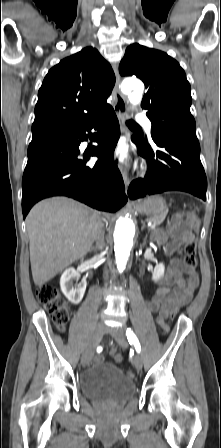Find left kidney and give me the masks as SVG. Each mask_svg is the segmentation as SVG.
I'll return each instance as SVG.
<instances>
[{
  "instance_id": "left-kidney-1",
  "label": "left kidney",
  "mask_w": 221,
  "mask_h": 448,
  "mask_svg": "<svg viewBox=\"0 0 221 448\" xmlns=\"http://www.w3.org/2000/svg\"><path fill=\"white\" fill-rule=\"evenodd\" d=\"M164 271H165V267H164L163 263L156 265V267L154 268V270L152 272V279L154 281H158L161 277H163Z\"/></svg>"
}]
</instances>
